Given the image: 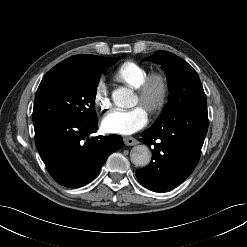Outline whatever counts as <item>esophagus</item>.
I'll return each mask as SVG.
<instances>
[{
    "mask_svg": "<svg viewBox=\"0 0 247 247\" xmlns=\"http://www.w3.org/2000/svg\"><path fill=\"white\" fill-rule=\"evenodd\" d=\"M124 143L127 146H134V145L138 144V140L135 139L134 137H124Z\"/></svg>",
    "mask_w": 247,
    "mask_h": 247,
    "instance_id": "34e87169",
    "label": "esophagus"
}]
</instances>
